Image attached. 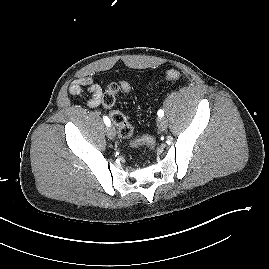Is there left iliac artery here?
I'll list each match as a JSON object with an SVG mask.
<instances>
[{"label":"left iliac artery","instance_id":"left-iliac-artery-1","mask_svg":"<svg viewBox=\"0 0 269 269\" xmlns=\"http://www.w3.org/2000/svg\"><path fill=\"white\" fill-rule=\"evenodd\" d=\"M157 114L159 117L162 118L164 116V111L162 109H160Z\"/></svg>","mask_w":269,"mask_h":269}]
</instances>
